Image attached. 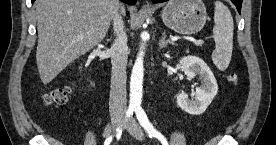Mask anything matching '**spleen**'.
I'll return each mask as SVG.
<instances>
[{"label": "spleen", "instance_id": "3e777b00", "mask_svg": "<svg viewBox=\"0 0 276 145\" xmlns=\"http://www.w3.org/2000/svg\"><path fill=\"white\" fill-rule=\"evenodd\" d=\"M214 22L212 60L219 70L225 71L232 56L234 23L229 9L220 1L215 2Z\"/></svg>", "mask_w": 276, "mask_h": 145}]
</instances>
